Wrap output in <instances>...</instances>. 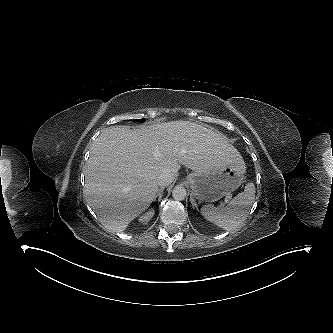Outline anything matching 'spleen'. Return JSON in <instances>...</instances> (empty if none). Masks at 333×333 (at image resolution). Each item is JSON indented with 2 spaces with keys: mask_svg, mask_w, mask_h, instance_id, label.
Returning a JSON list of instances; mask_svg holds the SVG:
<instances>
[{
  "mask_svg": "<svg viewBox=\"0 0 333 333\" xmlns=\"http://www.w3.org/2000/svg\"><path fill=\"white\" fill-rule=\"evenodd\" d=\"M255 192L254 184L248 183L244 191L236 195L225 207L204 205L201 207V214L205 219L224 230H234L246 220L254 203Z\"/></svg>",
  "mask_w": 333,
  "mask_h": 333,
  "instance_id": "1",
  "label": "spleen"
}]
</instances>
